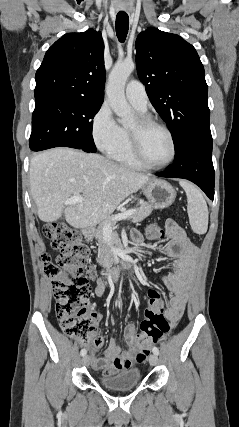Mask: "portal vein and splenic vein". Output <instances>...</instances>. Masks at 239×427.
<instances>
[{"mask_svg":"<svg viewBox=\"0 0 239 427\" xmlns=\"http://www.w3.org/2000/svg\"><path fill=\"white\" fill-rule=\"evenodd\" d=\"M82 201H84V197L83 196H81V195H74V196L68 198L65 201V204H76V203H80ZM135 211H136V209H130V210H127L125 212L119 213V214L113 216V220H115V221L124 220V219L130 217L132 214H134ZM111 229H112V227H111L110 224H105L104 225V231H109Z\"/></svg>","mask_w":239,"mask_h":427,"instance_id":"18ae733b","label":"portal vein and splenic vein"}]
</instances>
